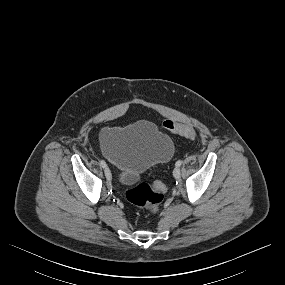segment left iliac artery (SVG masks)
Returning a JSON list of instances; mask_svg holds the SVG:
<instances>
[{"instance_id":"44dca946","label":"left iliac artery","mask_w":285,"mask_h":285,"mask_svg":"<svg viewBox=\"0 0 285 285\" xmlns=\"http://www.w3.org/2000/svg\"><path fill=\"white\" fill-rule=\"evenodd\" d=\"M181 164H182V160H178L175 165H176V167H179V166H181Z\"/></svg>"}]
</instances>
